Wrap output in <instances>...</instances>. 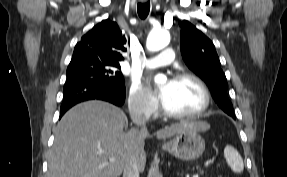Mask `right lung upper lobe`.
Here are the masks:
<instances>
[{
	"instance_id": "obj_1",
	"label": "right lung upper lobe",
	"mask_w": 287,
	"mask_h": 177,
	"mask_svg": "<svg viewBox=\"0 0 287 177\" xmlns=\"http://www.w3.org/2000/svg\"><path fill=\"white\" fill-rule=\"evenodd\" d=\"M125 35L116 22L103 20L88 31L75 46L70 63L84 60H103L115 63L123 60L121 52L126 51Z\"/></svg>"
}]
</instances>
